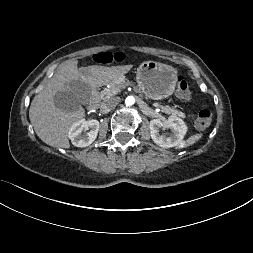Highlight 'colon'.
Instances as JSON below:
<instances>
[{
	"label": "colon",
	"instance_id": "1",
	"mask_svg": "<svg viewBox=\"0 0 253 253\" xmlns=\"http://www.w3.org/2000/svg\"><path fill=\"white\" fill-rule=\"evenodd\" d=\"M117 54L110 52H100L93 56L95 62L100 64H108L116 60ZM177 93L184 99L190 98L191 91L188 81L183 76L177 78ZM212 122V113L209 109H201L197 113L195 124L197 128L204 129Z\"/></svg>",
	"mask_w": 253,
	"mask_h": 253
}]
</instances>
